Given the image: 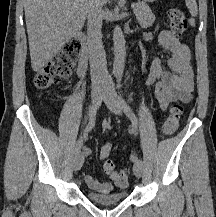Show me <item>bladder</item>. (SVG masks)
<instances>
[{
	"label": "bladder",
	"instance_id": "bladder-1",
	"mask_svg": "<svg viewBox=\"0 0 216 217\" xmlns=\"http://www.w3.org/2000/svg\"><path fill=\"white\" fill-rule=\"evenodd\" d=\"M86 196L90 201L96 204L113 205L124 201L127 198L128 193L125 190L108 193H97L94 191H87Z\"/></svg>",
	"mask_w": 216,
	"mask_h": 217
}]
</instances>
